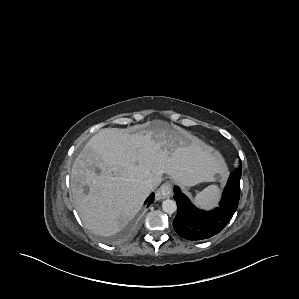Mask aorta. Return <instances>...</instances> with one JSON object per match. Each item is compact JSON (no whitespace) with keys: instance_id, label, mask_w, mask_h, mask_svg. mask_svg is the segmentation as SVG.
Masks as SVG:
<instances>
[{"instance_id":"762f6f07","label":"aorta","mask_w":299,"mask_h":299,"mask_svg":"<svg viewBox=\"0 0 299 299\" xmlns=\"http://www.w3.org/2000/svg\"><path fill=\"white\" fill-rule=\"evenodd\" d=\"M162 209L168 214H173L177 210L176 202L171 199H166L162 202Z\"/></svg>"}]
</instances>
